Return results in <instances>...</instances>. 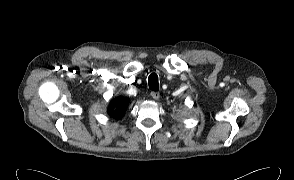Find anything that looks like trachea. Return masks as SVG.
Wrapping results in <instances>:
<instances>
[{
	"label": "trachea",
	"instance_id": "obj_1",
	"mask_svg": "<svg viewBox=\"0 0 294 180\" xmlns=\"http://www.w3.org/2000/svg\"><path fill=\"white\" fill-rule=\"evenodd\" d=\"M148 85L149 88L153 91H158L159 89V84H158V76L155 73H152L149 77H148Z\"/></svg>",
	"mask_w": 294,
	"mask_h": 180
}]
</instances>
